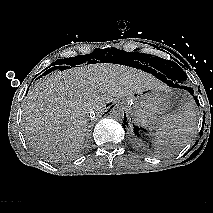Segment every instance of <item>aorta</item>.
I'll list each match as a JSON object with an SVG mask.
<instances>
[{"instance_id": "1", "label": "aorta", "mask_w": 213, "mask_h": 213, "mask_svg": "<svg viewBox=\"0 0 213 213\" xmlns=\"http://www.w3.org/2000/svg\"><path fill=\"white\" fill-rule=\"evenodd\" d=\"M124 114V109L120 106L113 107L109 112L110 117L116 121H123Z\"/></svg>"}]
</instances>
